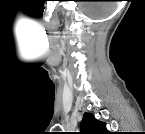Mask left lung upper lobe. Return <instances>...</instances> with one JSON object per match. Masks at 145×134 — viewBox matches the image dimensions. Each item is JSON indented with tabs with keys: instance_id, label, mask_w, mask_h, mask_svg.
Listing matches in <instances>:
<instances>
[{
	"instance_id": "5c2ea615",
	"label": "left lung upper lobe",
	"mask_w": 145,
	"mask_h": 134,
	"mask_svg": "<svg viewBox=\"0 0 145 134\" xmlns=\"http://www.w3.org/2000/svg\"><path fill=\"white\" fill-rule=\"evenodd\" d=\"M80 134H107L106 125L94 118L90 113H85L81 122Z\"/></svg>"
}]
</instances>
